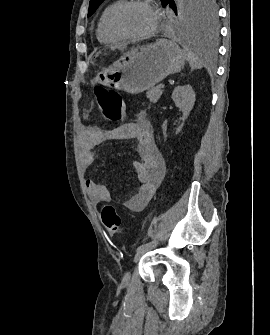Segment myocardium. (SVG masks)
<instances>
[{
    "instance_id": "obj_1",
    "label": "myocardium",
    "mask_w": 270,
    "mask_h": 335,
    "mask_svg": "<svg viewBox=\"0 0 270 335\" xmlns=\"http://www.w3.org/2000/svg\"><path fill=\"white\" fill-rule=\"evenodd\" d=\"M132 5L140 6L146 9L153 16L154 25L148 32L143 33V34H132V33L127 32L121 27L120 16L126 10V8ZM158 20H159V16L149 6H147L143 2L131 0L129 2H123L111 13L110 18H109V26L112 32L121 38L139 40V39H144V38L149 37L155 31L158 25ZM139 78H149V77H139Z\"/></svg>"
}]
</instances>
